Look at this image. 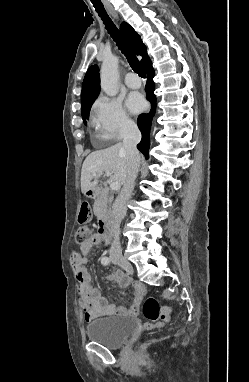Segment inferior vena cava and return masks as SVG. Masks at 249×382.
<instances>
[{
  "label": "inferior vena cava",
  "mask_w": 249,
  "mask_h": 382,
  "mask_svg": "<svg viewBox=\"0 0 249 382\" xmlns=\"http://www.w3.org/2000/svg\"><path fill=\"white\" fill-rule=\"evenodd\" d=\"M141 140V132L137 125L129 123L125 127L123 147L129 158V168L126 179L119 195L113 204V236L114 240L110 248V257L116 258L122 256L120 244V223L126 215L127 201L131 198L134 190L135 179L140 165V155L137 144Z\"/></svg>",
  "instance_id": "1"
}]
</instances>
